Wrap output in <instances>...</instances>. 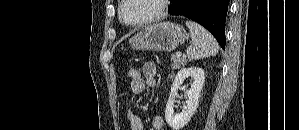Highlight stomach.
Masks as SVG:
<instances>
[{
  "mask_svg": "<svg viewBox=\"0 0 299 130\" xmlns=\"http://www.w3.org/2000/svg\"><path fill=\"white\" fill-rule=\"evenodd\" d=\"M186 38L187 32L181 25L160 22L145 27L129 40V44L134 50L170 52L185 42Z\"/></svg>",
  "mask_w": 299,
  "mask_h": 130,
  "instance_id": "0dacf381",
  "label": "stomach"
}]
</instances>
